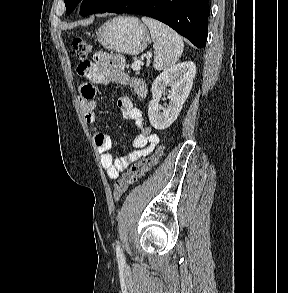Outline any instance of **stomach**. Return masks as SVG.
I'll return each instance as SVG.
<instances>
[{
    "instance_id": "0dacf381",
    "label": "stomach",
    "mask_w": 288,
    "mask_h": 293,
    "mask_svg": "<svg viewBox=\"0 0 288 293\" xmlns=\"http://www.w3.org/2000/svg\"><path fill=\"white\" fill-rule=\"evenodd\" d=\"M100 44L110 51L137 55L148 45L147 27L136 17L118 16L104 23L96 32Z\"/></svg>"
}]
</instances>
